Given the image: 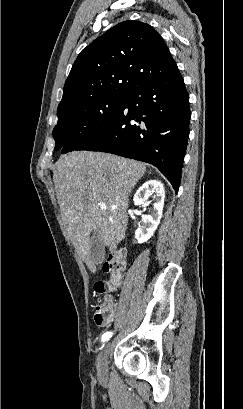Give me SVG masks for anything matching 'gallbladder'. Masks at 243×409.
Segmentation results:
<instances>
[{"label": "gallbladder", "instance_id": "1", "mask_svg": "<svg viewBox=\"0 0 243 409\" xmlns=\"http://www.w3.org/2000/svg\"><path fill=\"white\" fill-rule=\"evenodd\" d=\"M90 251H91V259L95 264H100L104 260V244L100 237L96 234H92L90 238Z\"/></svg>", "mask_w": 243, "mask_h": 409}]
</instances>
